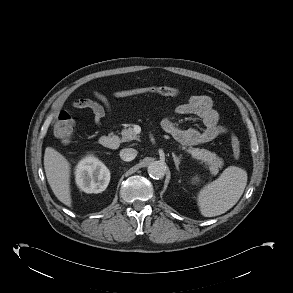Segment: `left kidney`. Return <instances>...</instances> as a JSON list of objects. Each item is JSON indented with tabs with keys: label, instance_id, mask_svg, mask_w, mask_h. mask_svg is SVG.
<instances>
[{
	"label": "left kidney",
	"instance_id": "5707ae66",
	"mask_svg": "<svg viewBox=\"0 0 293 293\" xmlns=\"http://www.w3.org/2000/svg\"><path fill=\"white\" fill-rule=\"evenodd\" d=\"M193 181H194V183H196V182L199 181V178L196 176V177L193 178Z\"/></svg>",
	"mask_w": 293,
	"mask_h": 293
}]
</instances>
